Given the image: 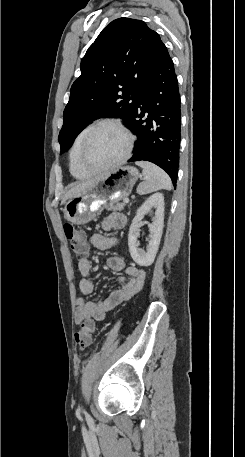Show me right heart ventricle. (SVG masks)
I'll list each match as a JSON object with an SVG mask.
<instances>
[{
  "instance_id": "right-heart-ventricle-1",
  "label": "right heart ventricle",
  "mask_w": 245,
  "mask_h": 457,
  "mask_svg": "<svg viewBox=\"0 0 245 457\" xmlns=\"http://www.w3.org/2000/svg\"><path fill=\"white\" fill-rule=\"evenodd\" d=\"M95 124H89L86 127H84L76 136L71 151L69 155V164H70V172L73 175L74 178L78 180H84L88 178L89 175H87L79 166L78 161H77V153L79 148L82 145V142L84 140L85 135L87 132L94 126Z\"/></svg>"
}]
</instances>
